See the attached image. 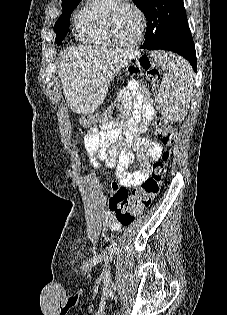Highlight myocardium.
Instances as JSON below:
<instances>
[{
	"label": "myocardium",
	"instance_id": "1",
	"mask_svg": "<svg viewBox=\"0 0 227 315\" xmlns=\"http://www.w3.org/2000/svg\"><path fill=\"white\" fill-rule=\"evenodd\" d=\"M123 7H130L132 9H134L138 13V15L140 16V19H141V29H140L139 37L135 42H133L131 44H123V43L119 42L117 40V38L115 36V32H114V24H115L116 17L118 15L120 9ZM147 25H148V19H147L145 12L137 4H135L129 0H117L116 3H114L108 11L107 21H106V29H107V35H108V37H109V39L113 45H116V46H119L122 48L138 47L144 40L145 33L147 30Z\"/></svg>",
	"mask_w": 227,
	"mask_h": 315
}]
</instances>
